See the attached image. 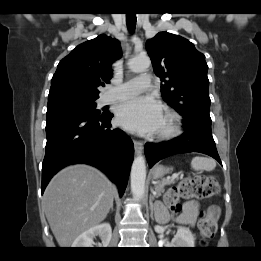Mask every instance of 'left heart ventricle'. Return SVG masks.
Instances as JSON below:
<instances>
[{
	"instance_id": "1",
	"label": "left heart ventricle",
	"mask_w": 261,
	"mask_h": 261,
	"mask_svg": "<svg viewBox=\"0 0 261 261\" xmlns=\"http://www.w3.org/2000/svg\"><path fill=\"white\" fill-rule=\"evenodd\" d=\"M166 125H167V122H166V119H164L163 126H162L161 130L164 129L166 127Z\"/></svg>"
}]
</instances>
